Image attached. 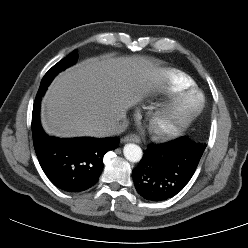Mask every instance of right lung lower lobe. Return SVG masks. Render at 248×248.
I'll return each mask as SVG.
<instances>
[{"label":"right lung lower lobe","mask_w":248,"mask_h":248,"mask_svg":"<svg viewBox=\"0 0 248 248\" xmlns=\"http://www.w3.org/2000/svg\"><path fill=\"white\" fill-rule=\"evenodd\" d=\"M47 86H40L32 112L33 143L39 163L49 180L67 192L89 189L103 170V157L119 145L117 138L59 139L48 136L39 119L40 102Z\"/></svg>","instance_id":"right-lung-lower-lobe-1"}]
</instances>
